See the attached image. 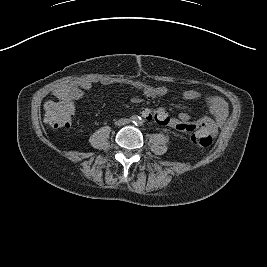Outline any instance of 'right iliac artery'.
<instances>
[{
	"label": "right iliac artery",
	"instance_id": "82829eb1",
	"mask_svg": "<svg viewBox=\"0 0 267 267\" xmlns=\"http://www.w3.org/2000/svg\"><path fill=\"white\" fill-rule=\"evenodd\" d=\"M130 119H131V121H132L133 123H135V125H136L137 122H138V120L140 119V117H138V116H132Z\"/></svg>",
	"mask_w": 267,
	"mask_h": 267
}]
</instances>
